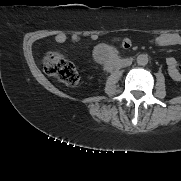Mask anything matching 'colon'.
<instances>
[{
    "mask_svg": "<svg viewBox=\"0 0 181 181\" xmlns=\"http://www.w3.org/2000/svg\"><path fill=\"white\" fill-rule=\"evenodd\" d=\"M44 71L69 87H76L80 75L75 65L58 53H48L43 58Z\"/></svg>",
    "mask_w": 181,
    "mask_h": 181,
    "instance_id": "1",
    "label": "colon"
}]
</instances>
